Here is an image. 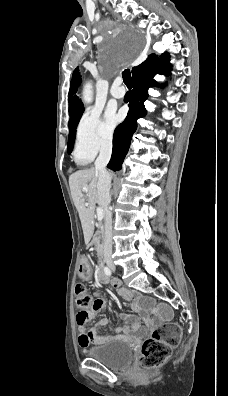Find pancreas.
I'll list each match as a JSON object with an SVG mask.
<instances>
[{"instance_id": "obj_1", "label": "pancreas", "mask_w": 228, "mask_h": 396, "mask_svg": "<svg viewBox=\"0 0 228 396\" xmlns=\"http://www.w3.org/2000/svg\"><path fill=\"white\" fill-rule=\"evenodd\" d=\"M104 230L101 224H98L93 239L90 241L91 245H95L96 251L99 255L103 251Z\"/></svg>"}]
</instances>
